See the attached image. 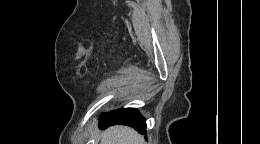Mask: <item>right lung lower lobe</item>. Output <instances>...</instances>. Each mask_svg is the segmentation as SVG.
<instances>
[{"label":"right lung lower lobe","mask_w":260,"mask_h":144,"mask_svg":"<svg viewBox=\"0 0 260 144\" xmlns=\"http://www.w3.org/2000/svg\"><path fill=\"white\" fill-rule=\"evenodd\" d=\"M116 124L132 126L139 133L146 134L145 119L135 108L118 109L104 114L100 122V127L106 129Z\"/></svg>","instance_id":"right-lung-lower-lobe-1"}]
</instances>
